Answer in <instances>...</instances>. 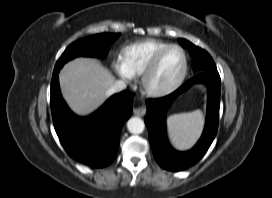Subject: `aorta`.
I'll return each instance as SVG.
<instances>
[{
    "instance_id": "obj_1",
    "label": "aorta",
    "mask_w": 272,
    "mask_h": 198,
    "mask_svg": "<svg viewBox=\"0 0 272 198\" xmlns=\"http://www.w3.org/2000/svg\"><path fill=\"white\" fill-rule=\"evenodd\" d=\"M145 124L139 117H132L127 122V128L132 134H140L143 132Z\"/></svg>"
}]
</instances>
